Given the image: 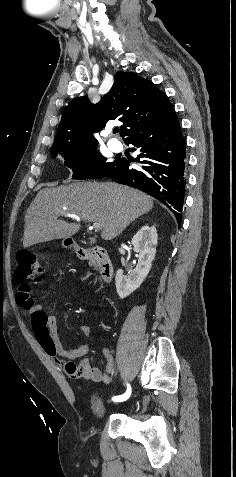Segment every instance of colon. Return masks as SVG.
Masks as SVG:
<instances>
[{"instance_id":"1","label":"colon","mask_w":236,"mask_h":477,"mask_svg":"<svg viewBox=\"0 0 236 477\" xmlns=\"http://www.w3.org/2000/svg\"><path fill=\"white\" fill-rule=\"evenodd\" d=\"M43 268L38 255L32 251H21L16 256L14 279L17 283V302L25 307L32 298V288L42 280Z\"/></svg>"}]
</instances>
